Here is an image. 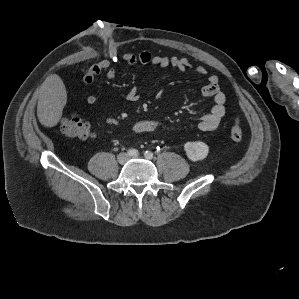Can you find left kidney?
<instances>
[{
    "instance_id": "1",
    "label": "left kidney",
    "mask_w": 299,
    "mask_h": 299,
    "mask_svg": "<svg viewBox=\"0 0 299 299\" xmlns=\"http://www.w3.org/2000/svg\"><path fill=\"white\" fill-rule=\"evenodd\" d=\"M184 150L187 157L192 161L203 160L209 153V147L201 141L185 143Z\"/></svg>"
}]
</instances>
